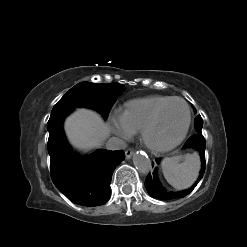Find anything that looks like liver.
<instances>
[{"label":"liver","instance_id":"6515ba94","mask_svg":"<svg viewBox=\"0 0 247 247\" xmlns=\"http://www.w3.org/2000/svg\"><path fill=\"white\" fill-rule=\"evenodd\" d=\"M64 129L69 142L83 151L101 146L110 133L100 115L85 108L71 114L65 121Z\"/></svg>","mask_w":247,"mask_h":247}]
</instances>
